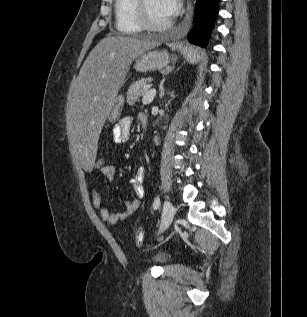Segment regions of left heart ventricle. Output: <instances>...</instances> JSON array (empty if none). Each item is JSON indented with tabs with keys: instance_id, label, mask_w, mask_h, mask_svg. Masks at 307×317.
Segmentation results:
<instances>
[{
	"instance_id": "b2bd125f",
	"label": "left heart ventricle",
	"mask_w": 307,
	"mask_h": 317,
	"mask_svg": "<svg viewBox=\"0 0 307 317\" xmlns=\"http://www.w3.org/2000/svg\"><path fill=\"white\" fill-rule=\"evenodd\" d=\"M146 7L150 19L156 24L166 23L170 20L160 5L159 0H146Z\"/></svg>"
}]
</instances>
